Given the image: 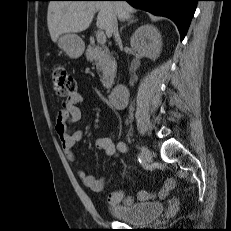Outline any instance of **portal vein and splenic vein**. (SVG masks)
<instances>
[{
    "label": "portal vein and splenic vein",
    "instance_id": "obj_1",
    "mask_svg": "<svg viewBox=\"0 0 231 231\" xmlns=\"http://www.w3.org/2000/svg\"><path fill=\"white\" fill-rule=\"evenodd\" d=\"M96 38H97V42L101 45L105 44L106 42V36L104 34V32L102 30H98L96 32Z\"/></svg>",
    "mask_w": 231,
    "mask_h": 231
}]
</instances>
